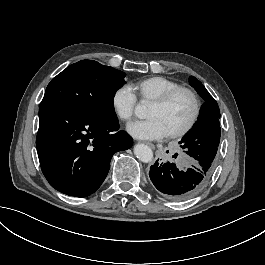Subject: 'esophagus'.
Returning a JSON list of instances; mask_svg holds the SVG:
<instances>
[{
    "instance_id": "esophagus-1",
    "label": "esophagus",
    "mask_w": 265,
    "mask_h": 265,
    "mask_svg": "<svg viewBox=\"0 0 265 265\" xmlns=\"http://www.w3.org/2000/svg\"><path fill=\"white\" fill-rule=\"evenodd\" d=\"M140 143L147 145V146H148L149 148H151L152 150L155 149V145L152 144V143H149V142H146V141H142V142H140Z\"/></svg>"
}]
</instances>
